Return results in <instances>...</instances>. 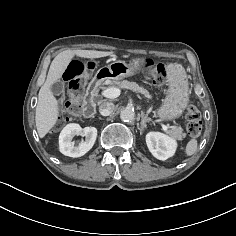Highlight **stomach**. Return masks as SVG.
I'll return each instance as SVG.
<instances>
[{
  "instance_id": "obj_1",
  "label": "stomach",
  "mask_w": 236,
  "mask_h": 236,
  "mask_svg": "<svg viewBox=\"0 0 236 236\" xmlns=\"http://www.w3.org/2000/svg\"><path fill=\"white\" fill-rule=\"evenodd\" d=\"M143 64L144 60L140 58L134 59L130 63L121 60L114 61L108 66L100 68L95 78L99 81L118 82L137 74ZM168 70V93L162 105L156 110L157 116L163 121L173 120L181 116L189 101L188 86L182 66L171 63L168 65Z\"/></svg>"
}]
</instances>
